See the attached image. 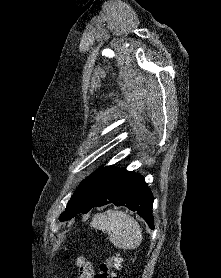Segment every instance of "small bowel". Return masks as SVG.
Returning a JSON list of instances; mask_svg holds the SVG:
<instances>
[{
    "mask_svg": "<svg viewBox=\"0 0 221 278\" xmlns=\"http://www.w3.org/2000/svg\"><path fill=\"white\" fill-rule=\"evenodd\" d=\"M88 264H90L92 266V264L90 262H87Z\"/></svg>",
    "mask_w": 221,
    "mask_h": 278,
    "instance_id": "small-bowel-1",
    "label": "small bowel"
}]
</instances>
